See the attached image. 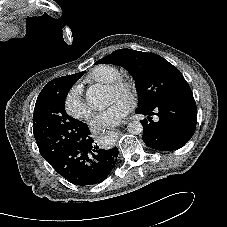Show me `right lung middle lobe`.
<instances>
[{
  "instance_id": "right-lung-middle-lobe-1",
  "label": "right lung middle lobe",
  "mask_w": 227,
  "mask_h": 227,
  "mask_svg": "<svg viewBox=\"0 0 227 227\" xmlns=\"http://www.w3.org/2000/svg\"><path fill=\"white\" fill-rule=\"evenodd\" d=\"M83 73L49 82L44 96L36 101L33 133L40 154L47 161L56 158L65 146L74 141L75 133L81 130L80 121L66 114L65 98Z\"/></svg>"
}]
</instances>
